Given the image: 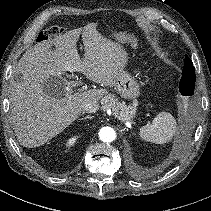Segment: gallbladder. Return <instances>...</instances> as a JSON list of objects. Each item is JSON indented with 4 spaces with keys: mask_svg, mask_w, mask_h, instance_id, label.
Wrapping results in <instances>:
<instances>
[{
    "mask_svg": "<svg viewBox=\"0 0 211 211\" xmlns=\"http://www.w3.org/2000/svg\"><path fill=\"white\" fill-rule=\"evenodd\" d=\"M56 82H59L61 84L64 83L63 79L61 77L56 76H50V78L45 82L44 84V90L47 94H49L52 97H59V93H57L52 87L55 85Z\"/></svg>",
    "mask_w": 211,
    "mask_h": 211,
    "instance_id": "obj_1",
    "label": "gallbladder"
}]
</instances>
